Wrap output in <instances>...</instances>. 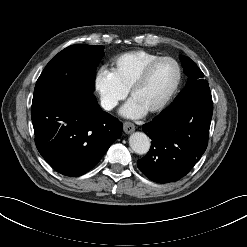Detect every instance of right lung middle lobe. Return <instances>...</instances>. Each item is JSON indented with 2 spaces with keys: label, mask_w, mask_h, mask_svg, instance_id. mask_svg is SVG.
<instances>
[{
  "label": "right lung middle lobe",
  "mask_w": 247,
  "mask_h": 247,
  "mask_svg": "<svg viewBox=\"0 0 247 247\" xmlns=\"http://www.w3.org/2000/svg\"><path fill=\"white\" fill-rule=\"evenodd\" d=\"M103 46L76 44L59 52L38 78L32 104L59 93L85 104L96 102V68L103 56Z\"/></svg>",
  "instance_id": "obj_1"
}]
</instances>
